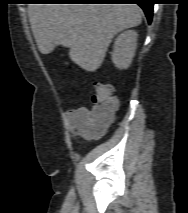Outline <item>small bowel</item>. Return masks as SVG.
<instances>
[{"mask_svg": "<svg viewBox=\"0 0 188 213\" xmlns=\"http://www.w3.org/2000/svg\"><path fill=\"white\" fill-rule=\"evenodd\" d=\"M90 113L91 110L86 107L69 110L67 112V118L71 129L73 132L82 136L93 138L100 137L105 133L112 120L107 124L96 127L92 124Z\"/></svg>", "mask_w": 188, "mask_h": 213, "instance_id": "obj_1", "label": "small bowel"}]
</instances>
